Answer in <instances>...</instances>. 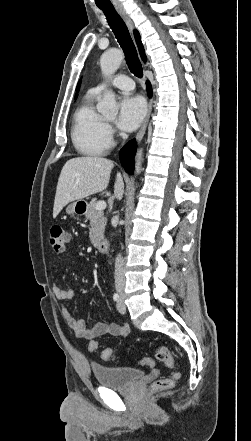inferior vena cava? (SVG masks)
<instances>
[{"label": "inferior vena cava", "instance_id": "1", "mask_svg": "<svg viewBox=\"0 0 251 441\" xmlns=\"http://www.w3.org/2000/svg\"><path fill=\"white\" fill-rule=\"evenodd\" d=\"M125 287L124 260L121 254H118L115 262V288L117 292H122Z\"/></svg>", "mask_w": 251, "mask_h": 441}]
</instances>
